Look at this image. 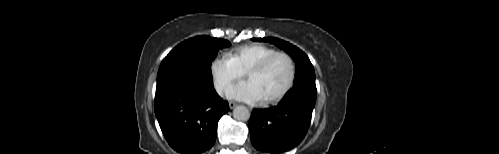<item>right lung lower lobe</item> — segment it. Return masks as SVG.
I'll return each mask as SVG.
<instances>
[{
  "mask_svg": "<svg viewBox=\"0 0 499 154\" xmlns=\"http://www.w3.org/2000/svg\"><path fill=\"white\" fill-rule=\"evenodd\" d=\"M154 108L169 145L181 154H200L214 145L217 123L229 105L213 85L176 82L156 88Z\"/></svg>",
  "mask_w": 499,
  "mask_h": 154,
  "instance_id": "1",
  "label": "right lung lower lobe"
}]
</instances>
